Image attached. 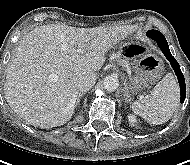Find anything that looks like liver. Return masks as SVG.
Here are the masks:
<instances>
[{"mask_svg":"<svg viewBox=\"0 0 190 165\" xmlns=\"http://www.w3.org/2000/svg\"><path fill=\"white\" fill-rule=\"evenodd\" d=\"M134 26L77 28L65 24L36 27L20 41L8 63L5 99L25 121L41 128L61 126L72 117L76 78L99 71L105 54ZM77 49L86 50L84 53Z\"/></svg>","mask_w":190,"mask_h":165,"instance_id":"obj_1","label":"liver"}]
</instances>
